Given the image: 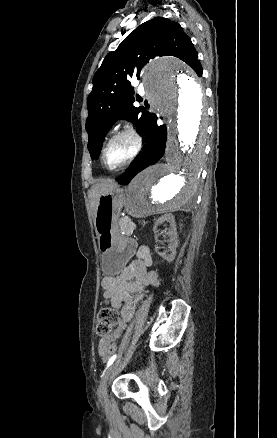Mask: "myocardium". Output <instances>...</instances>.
<instances>
[{
  "instance_id": "1",
  "label": "myocardium",
  "mask_w": 277,
  "mask_h": 438,
  "mask_svg": "<svg viewBox=\"0 0 277 438\" xmlns=\"http://www.w3.org/2000/svg\"><path fill=\"white\" fill-rule=\"evenodd\" d=\"M123 137H127L132 141V150L129 156L121 164L114 167L109 166L106 162V151L112 142ZM141 148H142V138L140 134L137 132V130L132 127L124 128L113 134L105 143L101 152L102 163L108 170L111 171L120 170L130 165L136 159V157L139 155L141 151Z\"/></svg>"
}]
</instances>
